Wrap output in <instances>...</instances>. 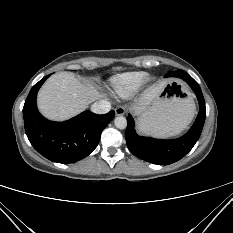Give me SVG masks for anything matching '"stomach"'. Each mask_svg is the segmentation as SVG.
<instances>
[{
  "label": "stomach",
  "instance_id": "stomach-1",
  "mask_svg": "<svg viewBox=\"0 0 233 233\" xmlns=\"http://www.w3.org/2000/svg\"><path fill=\"white\" fill-rule=\"evenodd\" d=\"M194 101L179 83L169 81L153 102L138 114L139 130L153 136L179 134L191 122Z\"/></svg>",
  "mask_w": 233,
  "mask_h": 233
}]
</instances>
